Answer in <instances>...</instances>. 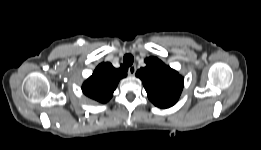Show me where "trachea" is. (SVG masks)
<instances>
[{"label":"trachea","instance_id":"1","mask_svg":"<svg viewBox=\"0 0 261 150\" xmlns=\"http://www.w3.org/2000/svg\"><path fill=\"white\" fill-rule=\"evenodd\" d=\"M134 62V58L131 54H126L123 58V63L126 65V66H131Z\"/></svg>","mask_w":261,"mask_h":150}]
</instances>
